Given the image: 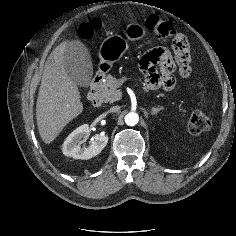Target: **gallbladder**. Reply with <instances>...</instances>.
I'll list each match as a JSON object with an SVG mask.
<instances>
[{
	"instance_id": "obj_1",
	"label": "gallbladder",
	"mask_w": 236,
	"mask_h": 236,
	"mask_svg": "<svg viewBox=\"0 0 236 236\" xmlns=\"http://www.w3.org/2000/svg\"><path fill=\"white\" fill-rule=\"evenodd\" d=\"M64 67L70 79L80 87L87 88L93 75L91 56L86 46L72 41L66 48Z\"/></svg>"
}]
</instances>
